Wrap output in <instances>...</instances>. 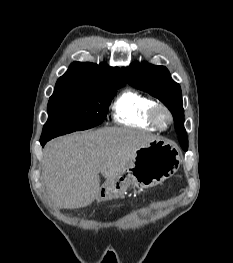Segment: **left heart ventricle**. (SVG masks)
Segmentation results:
<instances>
[{
	"mask_svg": "<svg viewBox=\"0 0 233 263\" xmlns=\"http://www.w3.org/2000/svg\"><path fill=\"white\" fill-rule=\"evenodd\" d=\"M161 124L165 125L168 122V118L165 113H160L159 116Z\"/></svg>",
	"mask_w": 233,
	"mask_h": 263,
	"instance_id": "left-heart-ventricle-1",
	"label": "left heart ventricle"
}]
</instances>
